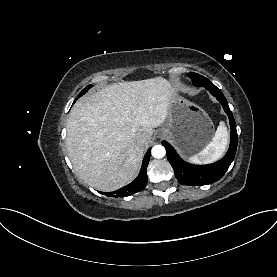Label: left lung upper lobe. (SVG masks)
<instances>
[{"label": "left lung upper lobe", "instance_id": "obj_1", "mask_svg": "<svg viewBox=\"0 0 277 277\" xmlns=\"http://www.w3.org/2000/svg\"><path fill=\"white\" fill-rule=\"evenodd\" d=\"M188 76L191 78L193 84L195 86H198V87H200L203 84L209 82V80L207 78H205V77H203V76H201V75H199L197 73H189Z\"/></svg>", "mask_w": 277, "mask_h": 277}]
</instances>
